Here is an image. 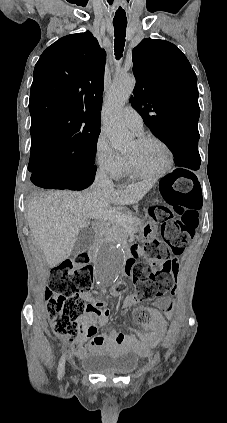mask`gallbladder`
Segmentation results:
<instances>
[{
    "label": "gallbladder",
    "instance_id": "gallbladder-1",
    "mask_svg": "<svg viewBox=\"0 0 227 423\" xmlns=\"http://www.w3.org/2000/svg\"><path fill=\"white\" fill-rule=\"evenodd\" d=\"M95 237V231L93 227H87L80 231L76 243L73 247L72 255H77V253H82V251H87L90 245H92Z\"/></svg>",
    "mask_w": 227,
    "mask_h": 423
}]
</instances>
